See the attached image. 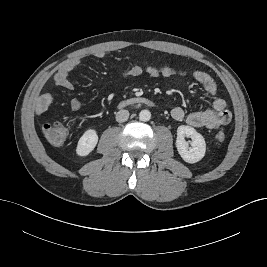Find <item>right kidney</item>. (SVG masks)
I'll return each mask as SVG.
<instances>
[{"label":"right kidney","instance_id":"right-kidney-1","mask_svg":"<svg viewBox=\"0 0 267 267\" xmlns=\"http://www.w3.org/2000/svg\"><path fill=\"white\" fill-rule=\"evenodd\" d=\"M98 142V135L94 129H88L84 132L81 138L78 141V145L76 148V153L79 156H87Z\"/></svg>","mask_w":267,"mask_h":267}]
</instances>
